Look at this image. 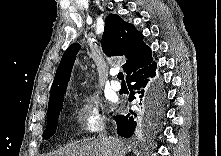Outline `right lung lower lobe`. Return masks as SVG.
<instances>
[{
	"instance_id": "98d812e1",
	"label": "right lung lower lobe",
	"mask_w": 221,
	"mask_h": 156,
	"mask_svg": "<svg viewBox=\"0 0 221 156\" xmlns=\"http://www.w3.org/2000/svg\"><path fill=\"white\" fill-rule=\"evenodd\" d=\"M156 63L151 62L144 68H141L127 77L128 87L130 89V98L132 101L139 98L149 107L152 115L157 116L161 112L163 104V95L160 84H158L156 75ZM136 95V96H135ZM137 114L130 111L126 115H116L117 134L122 137H130L136 128Z\"/></svg>"
}]
</instances>
